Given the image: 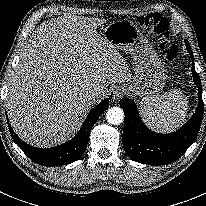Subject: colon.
<instances>
[{
	"instance_id": "obj_1",
	"label": "colon",
	"mask_w": 206,
	"mask_h": 206,
	"mask_svg": "<svg viewBox=\"0 0 206 206\" xmlns=\"http://www.w3.org/2000/svg\"><path fill=\"white\" fill-rule=\"evenodd\" d=\"M139 28L151 33L158 38L159 48L167 61L174 62L178 59V48L169 38V24L166 18L158 14H150L137 19Z\"/></svg>"
}]
</instances>
